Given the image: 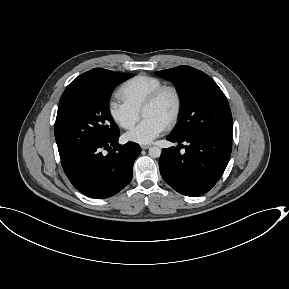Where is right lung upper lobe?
Returning <instances> with one entry per match:
<instances>
[{
  "label": "right lung upper lobe",
  "mask_w": 289,
  "mask_h": 289,
  "mask_svg": "<svg viewBox=\"0 0 289 289\" xmlns=\"http://www.w3.org/2000/svg\"><path fill=\"white\" fill-rule=\"evenodd\" d=\"M114 72L102 68L92 69L74 79L69 85L96 84Z\"/></svg>",
  "instance_id": "obj_1"
}]
</instances>
